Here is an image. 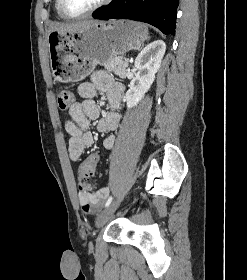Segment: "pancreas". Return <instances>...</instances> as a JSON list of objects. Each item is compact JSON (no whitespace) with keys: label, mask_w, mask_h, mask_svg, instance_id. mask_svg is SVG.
<instances>
[{"label":"pancreas","mask_w":247,"mask_h":280,"mask_svg":"<svg viewBox=\"0 0 247 280\" xmlns=\"http://www.w3.org/2000/svg\"><path fill=\"white\" fill-rule=\"evenodd\" d=\"M105 69L112 71L121 78L126 77L128 62L123 60L122 56L113 57L110 61L104 64Z\"/></svg>","instance_id":"pancreas-1"}]
</instances>
